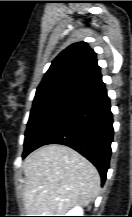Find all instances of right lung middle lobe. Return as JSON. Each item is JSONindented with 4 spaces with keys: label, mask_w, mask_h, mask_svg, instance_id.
Here are the masks:
<instances>
[{
    "label": "right lung middle lobe",
    "mask_w": 132,
    "mask_h": 217,
    "mask_svg": "<svg viewBox=\"0 0 132 217\" xmlns=\"http://www.w3.org/2000/svg\"><path fill=\"white\" fill-rule=\"evenodd\" d=\"M77 97V95L65 91L35 95L25 132L24 153L33 145L60 111Z\"/></svg>",
    "instance_id": "right-lung-middle-lobe-1"
}]
</instances>
